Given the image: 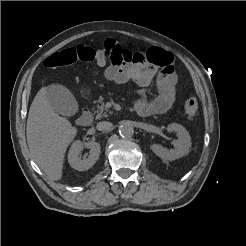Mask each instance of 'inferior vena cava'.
Instances as JSON below:
<instances>
[{
  "mask_svg": "<svg viewBox=\"0 0 246 246\" xmlns=\"http://www.w3.org/2000/svg\"><path fill=\"white\" fill-rule=\"evenodd\" d=\"M112 127V123L111 122H108V121H102V122H99L96 126V128L99 130V131H108L110 130Z\"/></svg>",
  "mask_w": 246,
  "mask_h": 246,
  "instance_id": "602c4592",
  "label": "inferior vena cava"
}]
</instances>
